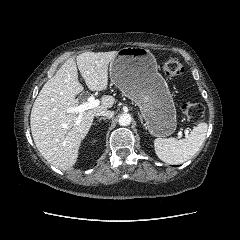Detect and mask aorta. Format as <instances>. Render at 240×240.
I'll use <instances>...</instances> for the list:
<instances>
[{"label":"aorta","mask_w":240,"mask_h":240,"mask_svg":"<svg viewBox=\"0 0 240 240\" xmlns=\"http://www.w3.org/2000/svg\"><path fill=\"white\" fill-rule=\"evenodd\" d=\"M131 120H132L131 115L128 113H124L119 117L118 123L121 126H128V125H130Z\"/></svg>","instance_id":"1"}]
</instances>
